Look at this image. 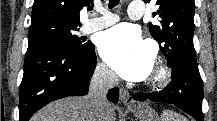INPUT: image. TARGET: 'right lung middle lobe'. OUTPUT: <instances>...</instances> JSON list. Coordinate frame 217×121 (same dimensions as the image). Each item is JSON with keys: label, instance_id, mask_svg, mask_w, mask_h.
Wrapping results in <instances>:
<instances>
[{"label": "right lung middle lobe", "instance_id": "obj_1", "mask_svg": "<svg viewBox=\"0 0 217 121\" xmlns=\"http://www.w3.org/2000/svg\"><path fill=\"white\" fill-rule=\"evenodd\" d=\"M79 26H81V24L56 19H44L31 22L28 50L47 46L81 50L87 43H84V41L75 34Z\"/></svg>", "mask_w": 217, "mask_h": 121}]
</instances>
